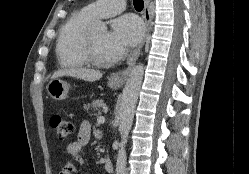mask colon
<instances>
[{"mask_svg":"<svg viewBox=\"0 0 249 174\" xmlns=\"http://www.w3.org/2000/svg\"><path fill=\"white\" fill-rule=\"evenodd\" d=\"M50 125L60 140L67 139L73 132L72 123L62 115L55 114L51 116Z\"/></svg>","mask_w":249,"mask_h":174,"instance_id":"1","label":"colon"}]
</instances>
